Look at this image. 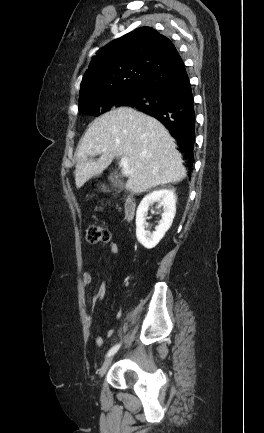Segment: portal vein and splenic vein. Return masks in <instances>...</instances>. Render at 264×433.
I'll return each mask as SVG.
<instances>
[{
	"instance_id": "18ae733b",
	"label": "portal vein and splenic vein",
	"mask_w": 264,
	"mask_h": 433,
	"mask_svg": "<svg viewBox=\"0 0 264 433\" xmlns=\"http://www.w3.org/2000/svg\"><path fill=\"white\" fill-rule=\"evenodd\" d=\"M119 166L122 168L123 174L128 176L133 173V169L129 167V159L127 157H122Z\"/></svg>"
}]
</instances>
